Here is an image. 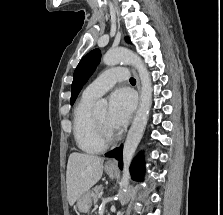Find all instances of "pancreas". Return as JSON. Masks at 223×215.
Returning a JSON list of instances; mask_svg holds the SVG:
<instances>
[{"instance_id": "cf45deb5", "label": "pancreas", "mask_w": 223, "mask_h": 215, "mask_svg": "<svg viewBox=\"0 0 223 215\" xmlns=\"http://www.w3.org/2000/svg\"><path fill=\"white\" fill-rule=\"evenodd\" d=\"M102 189H103V185H95V187H93V189H92V195H93V199H94V201H97V199H98V193L100 192V191H102Z\"/></svg>"}]
</instances>
